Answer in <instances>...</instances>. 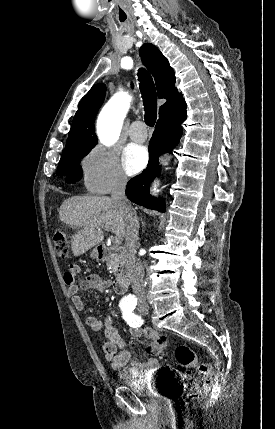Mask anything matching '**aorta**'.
<instances>
[{
	"instance_id": "obj_1",
	"label": "aorta",
	"mask_w": 275,
	"mask_h": 429,
	"mask_svg": "<svg viewBox=\"0 0 275 429\" xmlns=\"http://www.w3.org/2000/svg\"><path fill=\"white\" fill-rule=\"evenodd\" d=\"M127 108L128 99L115 97L102 109L98 118V134L103 144L111 145L117 140Z\"/></svg>"
}]
</instances>
